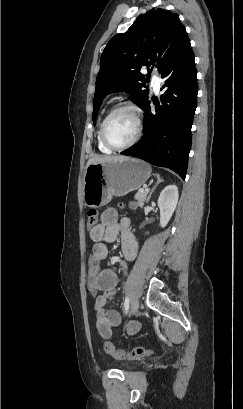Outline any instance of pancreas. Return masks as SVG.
Instances as JSON below:
<instances>
[{
    "instance_id": "obj_1",
    "label": "pancreas",
    "mask_w": 243,
    "mask_h": 409,
    "mask_svg": "<svg viewBox=\"0 0 243 409\" xmlns=\"http://www.w3.org/2000/svg\"><path fill=\"white\" fill-rule=\"evenodd\" d=\"M135 200L137 201L138 206H143L144 203L147 201V192L143 191V190H139L136 194H135Z\"/></svg>"
}]
</instances>
